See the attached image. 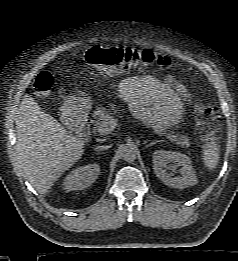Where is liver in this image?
<instances>
[{
    "label": "liver",
    "mask_w": 238,
    "mask_h": 261,
    "mask_svg": "<svg viewBox=\"0 0 238 261\" xmlns=\"http://www.w3.org/2000/svg\"><path fill=\"white\" fill-rule=\"evenodd\" d=\"M20 166L31 185L46 195L57 179L84 154V140L41 110L31 95L16 117Z\"/></svg>",
    "instance_id": "liver-1"
}]
</instances>
